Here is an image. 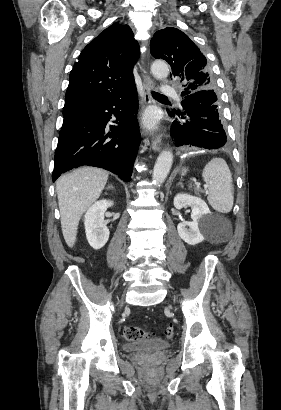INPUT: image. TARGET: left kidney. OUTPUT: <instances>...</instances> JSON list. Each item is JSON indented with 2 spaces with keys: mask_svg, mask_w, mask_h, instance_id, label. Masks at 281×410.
Segmentation results:
<instances>
[{
  "mask_svg": "<svg viewBox=\"0 0 281 410\" xmlns=\"http://www.w3.org/2000/svg\"><path fill=\"white\" fill-rule=\"evenodd\" d=\"M190 206L192 222H180L177 226L178 234L189 245H196L205 238L203 232L211 222V211L206 202L199 197L189 194H177L174 198V207L178 210ZM189 227V228H187Z\"/></svg>",
  "mask_w": 281,
  "mask_h": 410,
  "instance_id": "5707ae66",
  "label": "left kidney"
}]
</instances>
